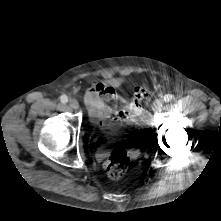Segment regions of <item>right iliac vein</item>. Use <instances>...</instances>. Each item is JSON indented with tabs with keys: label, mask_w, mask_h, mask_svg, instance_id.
<instances>
[{
	"label": "right iliac vein",
	"mask_w": 221,
	"mask_h": 221,
	"mask_svg": "<svg viewBox=\"0 0 221 221\" xmlns=\"http://www.w3.org/2000/svg\"><path fill=\"white\" fill-rule=\"evenodd\" d=\"M69 106L73 109H78L79 108V103L76 99H71L69 101Z\"/></svg>",
	"instance_id": "1"
}]
</instances>
